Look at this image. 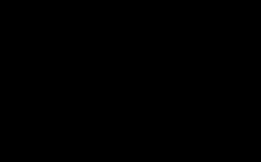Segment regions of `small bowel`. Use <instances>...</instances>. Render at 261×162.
<instances>
[{
    "label": "small bowel",
    "instance_id": "obj_1",
    "mask_svg": "<svg viewBox=\"0 0 261 162\" xmlns=\"http://www.w3.org/2000/svg\"><path fill=\"white\" fill-rule=\"evenodd\" d=\"M188 49H189L190 51H195V50L197 49V47H196L193 43H189V44H188Z\"/></svg>",
    "mask_w": 261,
    "mask_h": 162
}]
</instances>
